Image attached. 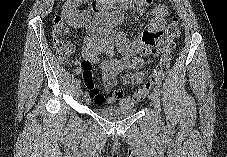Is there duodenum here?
I'll return each instance as SVG.
<instances>
[{
	"label": "duodenum",
	"mask_w": 227,
	"mask_h": 157,
	"mask_svg": "<svg viewBox=\"0 0 227 157\" xmlns=\"http://www.w3.org/2000/svg\"><path fill=\"white\" fill-rule=\"evenodd\" d=\"M102 0H90V9L92 10L93 19L90 23L91 32L93 33H103L111 29V27L117 22L119 23L120 16H112L108 22L102 23L98 21V16L103 10Z\"/></svg>",
	"instance_id": "1"
}]
</instances>
